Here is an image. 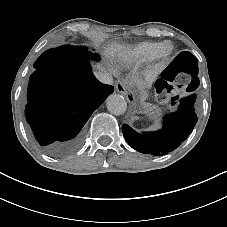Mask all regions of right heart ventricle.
<instances>
[{
	"label": "right heart ventricle",
	"instance_id": "right-heart-ventricle-1",
	"mask_svg": "<svg viewBox=\"0 0 227 227\" xmlns=\"http://www.w3.org/2000/svg\"><path fill=\"white\" fill-rule=\"evenodd\" d=\"M162 42H140L128 49L122 58L126 64H141L154 58Z\"/></svg>",
	"mask_w": 227,
	"mask_h": 227
}]
</instances>
